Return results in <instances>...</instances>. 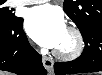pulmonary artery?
Segmentation results:
<instances>
[{"instance_id": "e3ab8cb5", "label": "pulmonary artery", "mask_w": 102, "mask_h": 75, "mask_svg": "<svg viewBox=\"0 0 102 75\" xmlns=\"http://www.w3.org/2000/svg\"><path fill=\"white\" fill-rule=\"evenodd\" d=\"M45 2V0H19L17 1V4H23V3H42Z\"/></svg>"}]
</instances>
